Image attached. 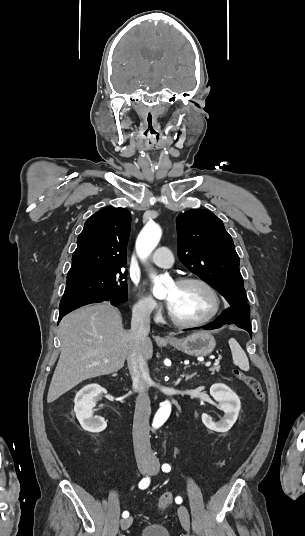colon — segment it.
Here are the masks:
<instances>
[{
  "label": "colon",
  "mask_w": 305,
  "mask_h": 536,
  "mask_svg": "<svg viewBox=\"0 0 305 536\" xmlns=\"http://www.w3.org/2000/svg\"><path fill=\"white\" fill-rule=\"evenodd\" d=\"M233 375L236 379L241 381L242 383L246 384L247 387L251 390V392L254 394L255 398L259 402L265 401V390L263 389L260 381L256 379L255 377L248 375L241 371L240 369H234ZM173 505V494L171 492H164L157 501V510L161 513H165L169 511L172 508Z\"/></svg>",
  "instance_id": "1"
}]
</instances>
